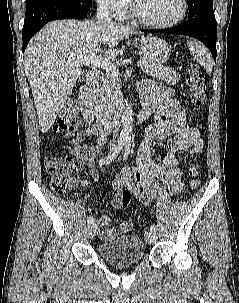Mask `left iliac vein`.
<instances>
[{
    "label": "left iliac vein",
    "instance_id": "1",
    "mask_svg": "<svg viewBox=\"0 0 239 303\" xmlns=\"http://www.w3.org/2000/svg\"><path fill=\"white\" fill-rule=\"evenodd\" d=\"M145 237L146 240L150 243V244H154L157 240V234L156 231L154 230H148L145 232Z\"/></svg>",
    "mask_w": 239,
    "mask_h": 303
}]
</instances>
